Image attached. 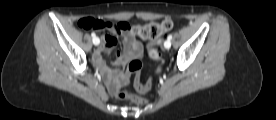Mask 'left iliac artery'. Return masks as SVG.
<instances>
[{
  "label": "left iliac artery",
  "instance_id": "44dca946",
  "mask_svg": "<svg viewBox=\"0 0 276 120\" xmlns=\"http://www.w3.org/2000/svg\"><path fill=\"white\" fill-rule=\"evenodd\" d=\"M167 39L170 41L172 39V35H169ZM164 46L167 47L166 44H164Z\"/></svg>",
  "mask_w": 276,
  "mask_h": 120
}]
</instances>
